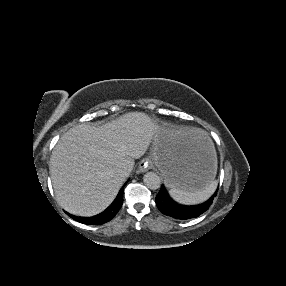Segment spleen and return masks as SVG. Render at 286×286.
I'll use <instances>...</instances> for the list:
<instances>
[{
    "instance_id": "1",
    "label": "spleen",
    "mask_w": 286,
    "mask_h": 286,
    "mask_svg": "<svg viewBox=\"0 0 286 286\" xmlns=\"http://www.w3.org/2000/svg\"><path fill=\"white\" fill-rule=\"evenodd\" d=\"M217 181H212L206 188L196 191H188L177 187H171L170 196L181 204L193 205L207 200L215 191Z\"/></svg>"
}]
</instances>
